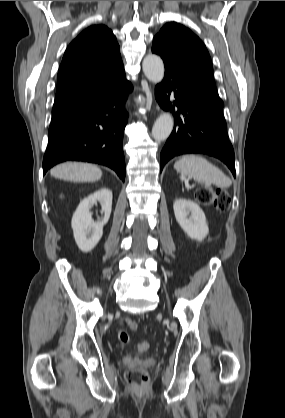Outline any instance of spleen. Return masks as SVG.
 I'll return each mask as SVG.
<instances>
[{"instance_id":"obj_1","label":"spleen","mask_w":285,"mask_h":418,"mask_svg":"<svg viewBox=\"0 0 285 418\" xmlns=\"http://www.w3.org/2000/svg\"><path fill=\"white\" fill-rule=\"evenodd\" d=\"M174 168L182 176L191 177L195 181L215 184L221 188L231 185V180L215 165L198 155H185L174 164Z\"/></svg>"}]
</instances>
